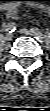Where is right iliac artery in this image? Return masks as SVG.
<instances>
[{
  "instance_id": "obj_1",
  "label": "right iliac artery",
  "mask_w": 50,
  "mask_h": 111,
  "mask_svg": "<svg viewBox=\"0 0 50 111\" xmlns=\"http://www.w3.org/2000/svg\"><path fill=\"white\" fill-rule=\"evenodd\" d=\"M16 28H17V26H16L15 23H9V24L4 28V30H5L6 32L12 33V32H14V31L16 30Z\"/></svg>"
}]
</instances>
